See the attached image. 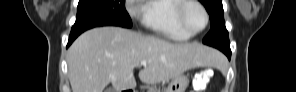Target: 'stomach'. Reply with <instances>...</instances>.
Masks as SVG:
<instances>
[{
  "label": "stomach",
  "mask_w": 296,
  "mask_h": 92,
  "mask_svg": "<svg viewBox=\"0 0 296 92\" xmlns=\"http://www.w3.org/2000/svg\"><path fill=\"white\" fill-rule=\"evenodd\" d=\"M188 84V77L181 74L178 77L172 79L165 92H185Z\"/></svg>",
  "instance_id": "obj_1"
}]
</instances>
